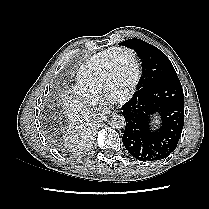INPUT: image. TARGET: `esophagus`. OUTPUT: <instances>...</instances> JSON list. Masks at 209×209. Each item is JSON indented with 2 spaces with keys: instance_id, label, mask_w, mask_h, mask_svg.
Masks as SVG:
<instances>
[{
  "instance_id": "1",
  "label": "esophagus",
  "mask_w": 209,
  "mask_h": 209,
  "mask_svg": "<svg viewBox=\"0 0 209 209\" xmlns=\"http://www.w3.org/2000/svg\"><path fill=\"white\" fill-rule=\"evenodd\" d=\"M111 112H112V114H115V113L118 112V110H117V108L113 107V108L111 109Z\"/></svg>"
}]
</instances>
